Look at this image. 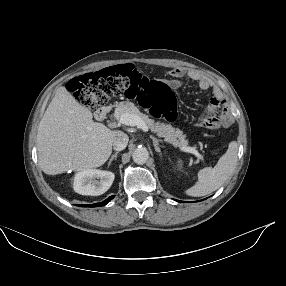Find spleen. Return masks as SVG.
<instances>
[{
    "mask_svg": "<svg viewBox=\"0 0 286 286\" xmlns=\"http://www.w3.org/2000/svg\"><path fill=\"white\" fill-rule=\"evenodd\" d=\"M238 144L236 141L229 143L228 149L217 164L206 167L198 172V181L185 193L192 197H200L217 190L232 174L237 163ZM182 166V161H178Z\"/></svg>",
    "mask_w": 286,
    "mask_h": 286,
    "instance_id": "1",
    "label": "spleen"
}]
</instances>
